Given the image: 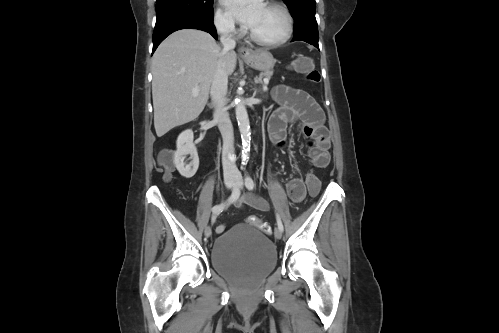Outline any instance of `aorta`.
<instances>
[{"label": "aorta", "instance_id": "aorta-1", "mask_svg": "<svg viewBox=\"0 0 499 333\" xmlns=\"http://www.w3.org/2000/svg\"><path fill=\"white\" fill-rule=\"evenodd\" d=\"M235 114L238 121L239 131L241 134L242 145L244 149L243 152H245L243 154L247 155L251 139L250 122L245 104L240 97H237L235 99Z\"/></svg>", "mask_w": 499, "mask_h": 333}]
</instances>
